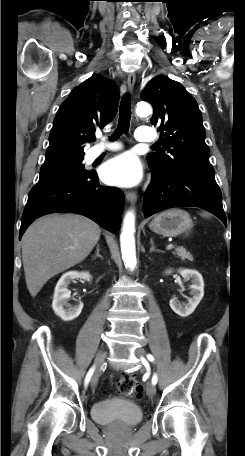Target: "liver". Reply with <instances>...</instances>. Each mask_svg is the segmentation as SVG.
Returning a JSON list of instances; mask_svg holds the SVG:
<instances>
[{
  "instance_id": "obj_1",
  "label": "liver",
  "mask_w": 245,
  "mask_h": 456,
  "mask_svg": "<svg viewBox=\"0 0 245 456\" xmlns=\"http://www.w3.org/2000/svg\"><path fill=\"white\" fill-rule=\"evenodd\" d=\"M100 227L76 214L39 218L22 238V261L29 293L35 297L54 275L83 261L99 241Z\"/></svg>"
}]
</instances>
